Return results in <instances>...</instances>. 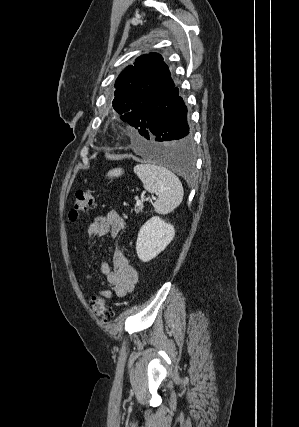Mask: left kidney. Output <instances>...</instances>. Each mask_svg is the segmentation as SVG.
Masks as SVG:
<instances>
[{
    "instance_id": "5707ae66",
    "label": "left kidney",
    "mask_w": 299,
    "mask_h": 427,
    "mask_svg": "<svg viewBox=\"0 0 299 427\" xmlns=\"http://www.w3.org/2000/svg\"><path fill=\"white\" fill-rule=\"evenodd\" d=\"M175 229L159 216L150 218L138 233L136 251L142 262H149L159 255L173 240Z\"/></svg>"
}]
</instances>
